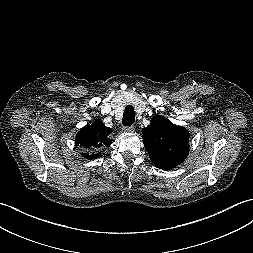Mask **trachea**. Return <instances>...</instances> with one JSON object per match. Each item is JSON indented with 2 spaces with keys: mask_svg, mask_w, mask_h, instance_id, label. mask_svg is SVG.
<instances>
[{
  "mask_svg": "<svg viewBox=\"0 0 253 253\" xmlns=\"http://www.w3.org/2000/svg\"><path fill=\"white\" fill-rule=\"evenodd\" d=\"M135 121V111L132 105H127L122 119L124 126H131Z\"/></svg>",
  "mask_w": 253,
  "mask_h": 253,
  "instance_id": "trachea-1",
  "label": "trachea"
}]
</instances>
